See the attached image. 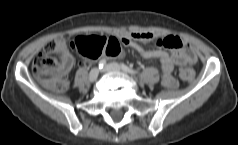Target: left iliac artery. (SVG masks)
I'll list each match as a JSON object with an SVG mask.
<instances>
[{
    "instance_id": "left-iliac-artery-1",
    "label": "left iliac artery",
    "mask_w": 238,
    "mask_h": 145,
    "mask_svg": "<svg viewBox=\"0 0 238 145\" xmlns=\"http://www.w3.org/2000/svg\"><path fill=\"white\" fill-rule=\"evenodd\" d=\"M121 68H122L123 71H125V72H127V73H130V74H132V75H136V74L140 73L139 70H136V69H133V68H131V67H128V66L125 65V64H121Z\"/></svg>"
}]
</instances>
